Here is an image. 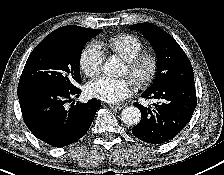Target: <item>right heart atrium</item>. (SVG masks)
Returning <instances> with one entry per match:
<instances>
[{
  "label": "right heart atrium",
  "mask_w": 224,
  "mask_h": 175,
  "mask_svg": "<svg viewBox=\"0 0 224 175\" xmlns=\"http://www.w3.org/2000/svg\"><path fill=\"white\" fill-rule=\"evenodd\" d=\"M104 52L96 43H89L80 55V68L88 77L97 76L102 69Z\"/></svg>",
  "instance_id": "1"
}]
</instances>
